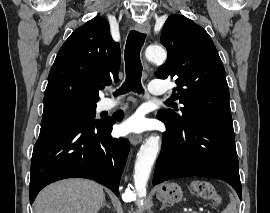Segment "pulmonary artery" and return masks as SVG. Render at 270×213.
<instances>
[{"mask_svg": "<svg viewBox=\"0 0 270 213\" xmlns=\"http://www.w3.org/2000/svg\"><path fill=\"white\" fill-rule=\"evenodd\" d=\"M149 91L152 95H164L167 92V86L166 83L163 81H152L150 83V87H149ZM120 104L119 100H114V99H107L104 102L103 108L105 110H110L113 109L115 107H117Z\"/></svg>", "mask_w": 270, "mask_h": 213, "instance_id": "1", "label": "pulmonary artery"}]
</instances>
